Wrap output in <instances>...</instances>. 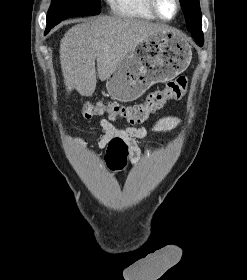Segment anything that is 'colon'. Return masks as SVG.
Here are the masks:
<instances>
[{"instance_id":"colon-1","label":"colon","mask_w":247,"mask_h":280,"mask_svg":"<svg viewBox=\"0 0 247 280\" xmlns=\"http://www.w3.org/2000/svg\"><path fill=\"white\" fill-rule=\"evenodd\" d=\"M188 81L185 76H180L169 81L163 89L150 92L144 102L132 106H123L116 102L86 103L82 108L83 117L90 119L95 116L107 114L109 118H123L128 123L141 124L149 116L169 100H177L185 96ZM128 148L119 139H114L107 147L106 163L111 170H121L127 164Z\"/></svg>"}]
</instances>
